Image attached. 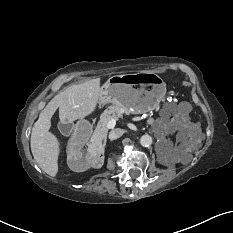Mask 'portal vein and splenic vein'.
<instances>
[{"mask_svg":"<svg viewBox=\"0 0 233 233\" xmlns=\"http://www.w3.org/2000/svg\"><path fill=\"white\" fill-rule=\"evenodd\" d=\"M149 122H151V119L149 120ZM116 125V121L115 120H110L107 124H106V128L107 129H113Z\"/></svg>","mask_w":233,"mask_h":233,"instance_id":"1","label":"portal vein and splenic vein"}]
</instances>
